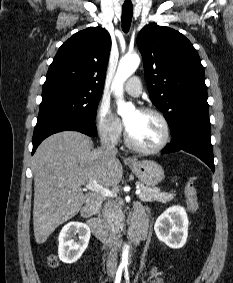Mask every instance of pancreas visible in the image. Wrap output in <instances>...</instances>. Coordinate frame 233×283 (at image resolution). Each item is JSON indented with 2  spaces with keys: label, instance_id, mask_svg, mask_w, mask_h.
<instances>
[{
  "label": "pancreas",
  "instance_id": "1",
  "mask_svg": "<svg viewBox=\"0 0 233 283\" xmlns=\"http://www.w3.org/2000/svg\"><path fill=\"white\" fill-rule=\"evenodd\" d=\"M136 185L141 190V193L138 195V197L143 202L158 201V202L166 203L173 200L175 196L173 192L172 193L162 192L157 187L145 186L140 182H136ZM107 207H109L110 210V212H108L107 210H105L104 212L107 221L108 222L113 221L116 225V228L119 229L120 227L119 222L123 218L121 207L115 202H109Z\"/></svg>",
  "mask_w": 233,
  "mask_h": 283
}]
</instances>
